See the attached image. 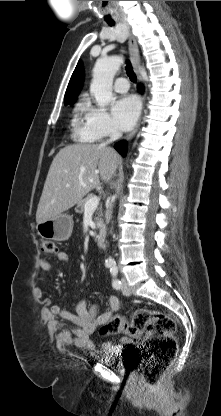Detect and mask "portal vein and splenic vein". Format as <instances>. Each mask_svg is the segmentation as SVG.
Listing matches in <instances>:
<instances>
[{
  "label": "portal vein and splenic vein",
  "instance_id": "18ae733b",
  "mask_svg": "<svg viewBox=\"0 0 221 416\" xmlns=\"http://www.w3.org/2000/svg\"><path fill=\"white\" fill-rule=\"evenodd\" d=\"M99 201H100V199L97 196H94V197L90 198L85 203L84 212L88 213V212L95 211L97 206L99 205Z\"/></svg>",
  "mask_w": 221,
  "mask_h": 416
}]
</instances>
